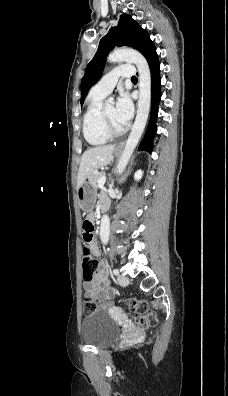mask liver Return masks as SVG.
<instances>
[{"mask_svg": "<svg viewBox=\"0 0 228 396\" xmlns=\"http://www.w3.org/2000/svg\"><path fill=\"white\" fill-rule=\"evenodd\" d=\"M115 145H102L88 148L81 157L77 177V188H79L98 168L108 165L113 159Z\"/></svg>", "mask_w": 228, "mask_h": 396, "instance_id": "liver-1", "label": "liver"}]
</instances>
